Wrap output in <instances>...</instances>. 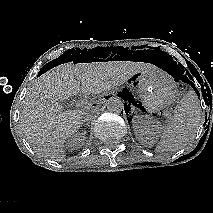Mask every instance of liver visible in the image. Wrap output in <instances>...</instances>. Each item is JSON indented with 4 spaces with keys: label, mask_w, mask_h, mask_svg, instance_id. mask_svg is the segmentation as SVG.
<instances>
[{
    "label": "liver",
    "mask_w": 213,
    "mask_h": 213,
    "mask_svg": "<svg viewBox=\"0 0 213 213\" xmlns=\"http://www.w3.org/2000/svg\"><path fill=\"white\" fill-rule=\"evenodd\" d=\"M155 68L133 61L68 62L46 71L35 80L23 100L20 125L26 140L40 156L63 161V144L81 127L85 106L63 111L60 102L79 92L100 94L137 72Z\"/></svg>",
    "instance_id": "1"
}]
</instances>
